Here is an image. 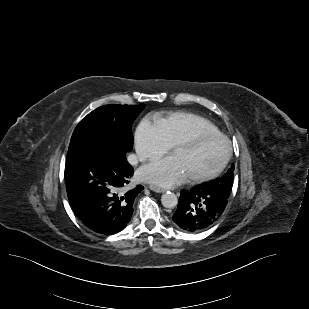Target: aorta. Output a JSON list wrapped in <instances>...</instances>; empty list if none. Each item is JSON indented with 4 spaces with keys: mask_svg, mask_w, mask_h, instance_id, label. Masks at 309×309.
Instances as JSON below:
<instances>
[{
    "mask_svg": "<svg viewBox=\"0 0 309 309\" xmlns=\"http://www.w3.org/2000/svg\"><path fill=\"white\" fill-rule=\"evenodd\" d=\"M161 203L165 208L171 209L177 205L178 199L173 192H166L161 197Z\"/></svg>",
    "mask_w": 309,
    "mask_h": 309,
    "instance_id": "obj_1",
    "label": "aorta"
}]
</instances>
